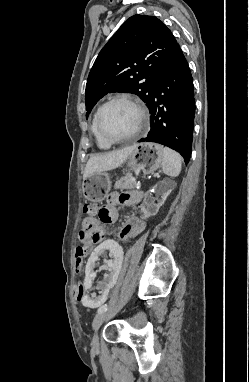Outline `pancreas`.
<instances>
[{
	"instance_id": "cf45deb5",
	"label": "pancreas",
	"mask_w": 249,
	"mask_h": 382,
	"mask_svg": "<svg viewBox=\"0 0 249 382\" xmlns=\"http://www.w3.org/2000/svg\"><path fill=\"white\" fill-rule=\"evenodd\" d=\"M133 178L131 173H127L124 177H121L119 180L116 181L114 188L115 189H135L136 188V181H132Z\"/></svg>"
}]
</instances>
